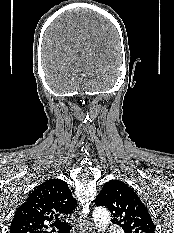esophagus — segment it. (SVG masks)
Returning <instances> with one entry per match:
<instances>
[{
  "label": "esophagus",
  "mask_w": 174,
  "mask_h": 233,
  "mask_svg": "<svg viewBox=\"0 0 174 233\" xmlns=\"http://www.w3.org/2000/svg\"><path fill=\"white\" fill-rule=\"evenodd\" d=\"M78 226L80 233H94L93 223L88 221L84 216H80Z\"/></svg>",
  "instance_id": "34e87169"
}]
</instances>
